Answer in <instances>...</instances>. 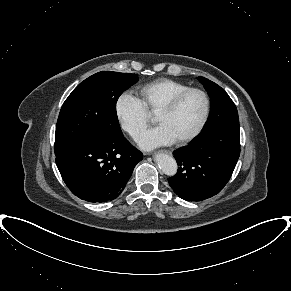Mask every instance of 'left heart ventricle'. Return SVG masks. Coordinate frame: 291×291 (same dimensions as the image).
<instances>
[{"label":"left heart ventricle","instance_id":"left-heart-ventricle-1","mask_svg":"<svg viewBox=\"0 0 291 291\" xmlns=\"http://www.w3.org/2000/svg\"><path fill=\"white\" fill-rule=\"evenodd\" d=\"M203 110V97L198 93H190L171 113L156 114L155 121L164 126L177 141L194 131L200 122Z\"/></svg>","mask_w":291,"mask_h":291}]
</instances>
